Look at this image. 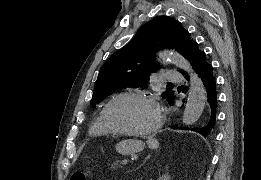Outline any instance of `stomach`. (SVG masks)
Masks as SVG:
<instances>
[{
    "label": "stomach",
    "instance_id": "1",
    "mask_svg": "<svg viewBox=\"0 0 261 180\" xmlns=\"http://www.w3.org/2000/svg\"><path fill=\"white\" fill-rule=\"evenodd\" d=\"M144 144L138 140H123L116 145V151L122 155H130L143 150Z\"/></svg>",
    "mask_w": 261,
    "mask_h": 180
}]
</instances>
